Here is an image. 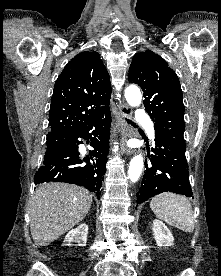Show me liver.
Here are the masks:
<instances>
[{
	"label": "liver",
	"mask_w": 221,
	"mask_h": 276,
	"mask_svg": "<svg viewBox=\"0 0 221 276\" xmlns=\"http://www.w3.org/2000/svg\"><path fill=\"white\" fill-rule=\"evenodd\" d=\"M92 194L67 183H48L36 189L29 205L30 230L37 245L46 246L76 226L88 213Z\"/></svg>",
	"instance_id": "liver-1"
}]
</instances>
